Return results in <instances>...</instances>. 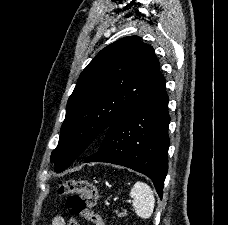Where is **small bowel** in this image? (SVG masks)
<instances>
[{
  "mask_svg": "<svg viewBox=\"0 0 228 225\" xmlns=\"http://www.w3.org/2000/svg\"><path fill=\"white\" fill-rule=\"evenodd\" d=\"M71 222H72V225H79L78 222L76 221V219H74V218H71L70 221L68 223H66L65 219L60 215L54 216L51 220L52 225H71L70 224Z\"/></svg>",
  "mask_w": 228,
  "mask_h": 225,
  "instance_id": "c3829d8e",
  "label": "small bowel"
}]
</instances>
